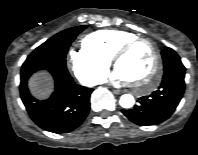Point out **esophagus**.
<instances>
[{"label": "esophagus", "instance_id": "34e87169", "mask_svg": "<svg viewBox=\"0 0 198 155\" xmlns=\"http://www.w3.org/2000/svg\"><path fill=\"white\" fill-rule=\"evenodd\" d=\"M114 94H121V91L120 90H113Z\"/></svg>", "mask_w": 198, "mask_h": 155}]
</instances>
